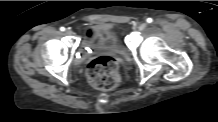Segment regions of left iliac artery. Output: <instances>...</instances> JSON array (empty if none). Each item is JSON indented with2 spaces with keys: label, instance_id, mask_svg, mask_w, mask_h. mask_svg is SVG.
<instances>
[{
  "label": "left iliac artery",
  "instance_id": "1",
  "mask_svg": "<svg viewBox=\"0 0 218 122\" xmlns=\"http://www.w3.org/2000/svg\"><path fill=\"white\" fill-rule=\"evenodd\" d=\"M147 22H148V23H152V22H153V19H152V18H147Z\"/></svg>",
  "mask_w": 218,
  "mask_h": 122
}]
</instances>
